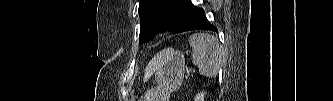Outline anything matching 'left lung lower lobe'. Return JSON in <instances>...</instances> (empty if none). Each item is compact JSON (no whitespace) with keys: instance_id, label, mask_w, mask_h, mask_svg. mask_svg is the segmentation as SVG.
I'll return each instance as SVG.
<instances>
[{"instance_id":"left-lung-lower-lobe-1","label":"left lung lower lobe","mask_w":333,"mask_h":101,"mask_svg":"<svg viewBox=\"0 0 333 101\" xmlns=\"http://www.w3.org/2000/svg\"><path fill=\"white\" fill-rule=\"evenodd\" d=\"M178 6L184 10V17L179 22L174 33H181L189 30H211L217 31L206 18L202 8L194 6L190 0H176Z\"/></svg>"}]
</instances>
